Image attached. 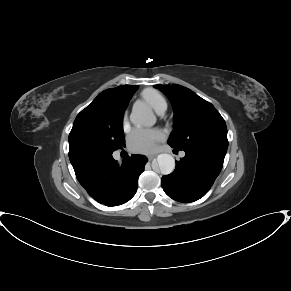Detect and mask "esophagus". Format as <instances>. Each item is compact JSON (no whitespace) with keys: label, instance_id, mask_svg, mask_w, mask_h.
Returning a JSON list of instances; mask_svg holds the SVG:
<instances>
[{"label":"esophagus","instance_id":"1","mask_svg":"<svg viewBox=\"0 0 291 291\" xmlns=\"http://www.w3.org/2000/svg\"><path fill=\"white\" fill-rule=\"evenodd\" d=\"M157 155L156 154H153V155H148V160H153Z\"/></svg>","mask_w":291,"mask_h":291}]
</instances>
